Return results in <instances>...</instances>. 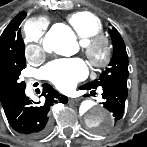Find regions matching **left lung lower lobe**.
I'll list each match as a JSON object with an SVG mask.
<instances>
[{"instance_id": "left-lung-lower-lobe-1", "label": "left lung lower lobe", "mask_w": 147, "mask_h": 147, "mask_svg": "<svg viewBox=\"0 0 147 147\" xmlns=\"http://www.w3.org/2000/svg\"><path fill=\"white\" fill-rule=\"evenodd\" d=\"M101 87L103 89L102 96L105 100L103 105L113 114V124H116L122 118L124 112L125 101L128 95L127 78L104 82ZM80 89L93 90V88H89L86 85L81 86Z\"/></svg>"}]
</instances>
